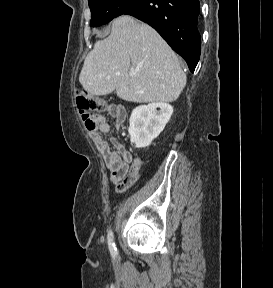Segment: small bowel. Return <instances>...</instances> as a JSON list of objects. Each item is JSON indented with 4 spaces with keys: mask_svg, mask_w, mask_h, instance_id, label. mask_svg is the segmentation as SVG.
Returning a JSON list of instances; mask_svg holds the SVG:
<instances>
[{
    "mask_svg": "<svg viewBox=\"0 0 273 288\" xmlns=\"http://www.w3.org/2000/svg\"><path fill=\"white\" fill-rule=\"evenodd\" d=\"M107 112L115 120L116 127L122 128L126 120L125 108L111 104L107 107ZM96 119L98 127L95 132H92L94 143L110 171L111 182L116 186L118 193H123L139 179L141 159L128 151L117 138L112 137L110 142L105 140L101 134L108 133L110 125L104 116L98 115Z\"/></svg>",
    "mask_w": 273,
    "mask_h": 288,
    "instance_id": "obj_1",
    "label": "small bowel"
}]
</instances>
